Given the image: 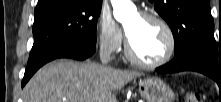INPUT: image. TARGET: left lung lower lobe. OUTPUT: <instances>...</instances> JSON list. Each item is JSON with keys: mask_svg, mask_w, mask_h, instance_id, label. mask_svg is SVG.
<instances>
[{"mask_svg": "<svg viewBox=\"0 0 221 102\" xmlns=\"http://www.w3.org/2000/svg\"><path fill=\"white\" fill-rule=\"evenodd\" d=\"M180 71H196L207 75L221 86V64L199 51H188L178 56L166 65L156 69L158 73H175Z\"/></svg>", "mask_w": 221, "mask_h": 102, "instance_id": "obj_1", "label": "left lung lower lobe"}]
</instances>
